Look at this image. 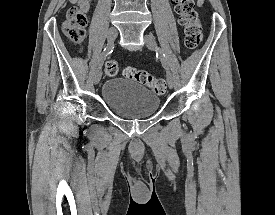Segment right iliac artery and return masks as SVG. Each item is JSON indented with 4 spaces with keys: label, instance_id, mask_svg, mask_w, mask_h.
Listing matches in <instances>:
<instances>
[{
    "label": "right iliac artery",
    "instance_id": "obj_1",
    "mask_svg": "<svg viewBox=\"0 0 275 215\" xmlns=\"http://www.w3.org/2000/svg\"><path fill=\"white\" fill-rule=\"evenodd\" d=\"M113 51V45H108L104 50L103 53L100 56L99 59V65L102 66V63L104 62L106 56Z\"/></svg>",
    "mask_w": 275,
    "mask_h": 215
}]
</instances>
